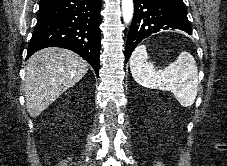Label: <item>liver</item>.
<instances>
[{"label": "liver", "mask_w": 227, "mask_h": 166, "mask_svg": "<svg viewBox=\"0 0 227 166\" xmlns=\"http://www.w3.org/2000/svg\"><path fill=\"white\" fill-rule=\"evenodd\" d=\"M89 64L73 51L50 47L37 51L27 62L24 92L27 111L39 116L63 92L78 83Z\"/></svg>", "instance_id": "1"}]
</instances>
